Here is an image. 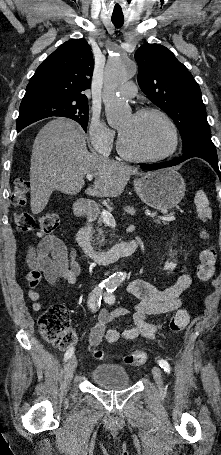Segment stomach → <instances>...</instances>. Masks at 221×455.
<instances>
[{"mask_svg": "<svg viewBox=\"0 0 221 455\" xmlns=\"http://www.w3.org/2000/svg\"><path fill=\"white\" fill-rule=\"evenodd\" d=\"M140 199L157 210L177 206L184 197L186 185L183 177L172 168L150 172L134 181Z\"/></svg>", "mask_w": 221, "mask_h": 455, "instance_id": "obj_1", "label": "stomach"}]
</instances>
